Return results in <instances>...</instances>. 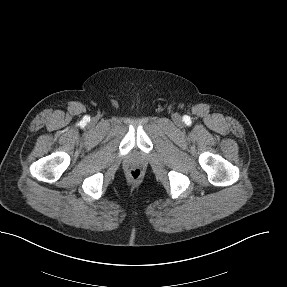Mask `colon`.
Wrapping results in <instances>:
<instances>
[{
	"instance_id": "1",
	"label": "colon",
	"mask_w": 287,
	"mask_h": 287,
	"mask_svg": "<svg viewBox=\"0 0 287 287\" xmlns=\"http://www.w3.org/2000/svg\"><path fill=\"white\" fill-rule=\"evenodd\" d=\"M129 174L133 179H138L141 176V169L137 167L131 168Z\"/></svg>"
}]
</instances>
